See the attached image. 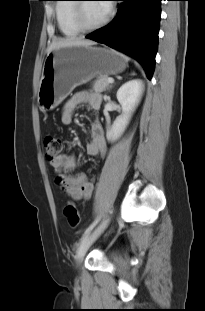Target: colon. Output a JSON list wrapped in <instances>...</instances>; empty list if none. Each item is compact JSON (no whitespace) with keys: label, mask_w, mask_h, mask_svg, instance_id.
<instances>
[{"label":"colon","mask_w":205,"mask_h":311,"mask_svg":"<svg viewBox=\"0 0 205 311\" xmlns=\"http://www.w3.org/2000/svg\"><path fill=\"white\" fill-rule=\"evenodd\" d=\"M45 157L48 161H53L61 152L62 140L54 136L44 138ZM64 216L70 227L76 228L80 224V213L73 203H68L64 208Z\"/></svg>","instance_id":"obj_1"}]
</instances>
